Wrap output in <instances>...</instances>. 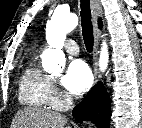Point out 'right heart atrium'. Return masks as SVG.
Returning <instances> with one entry per match:
<instances>
[{"mask_svg": "<svg viewBox=\"0 0 142 128\" xmlns=\"http://www.w3.org/2000/svg\"><path fill=\"white\" fill-rule=\"evenodd\" d=\"M54 87V81L51 80V88Z\"/></svg>", "mask_w": 142, "mask_h": 128, "instance_id": "right-heart-atrium-1", "label": "right heart atrium"}]
</instances>
